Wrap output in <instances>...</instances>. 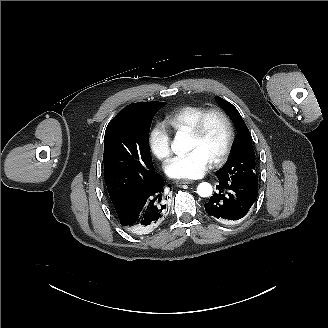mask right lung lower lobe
<instances>
[{
    "label": "right lung lower lobe",
    "mask_w": 328,
    "mask_h": 328,
    "mask_svg": "<svg viewBox=\"0 0 328 328\" xmlns=\"http://www.w3.org/2000/svg\"><path fill=\"white\" fill-rule=\"evenodd\" d=\"M165 193L163 180L156 174L146 192L132 197L119 210H116L121 225L138 235L149 233L163 220L168 211Z\"/></svg>",
    "instance_id": "obj_1"
}]
</instances>
